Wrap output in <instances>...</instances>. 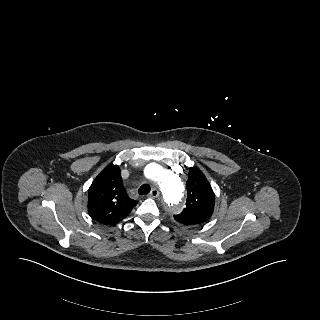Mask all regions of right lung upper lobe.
Instances as JSON below:
<instances>
[{"label":"right lung upper lobe","instance_id":"right-lung-upper-lobe-1","mask_svg":"<svg viewBox=\"0 0 320 320\" xmlns=\"http://www.w3.org/2000/svg\"><path fill=\"white\" fill-rule=\"evenodd\" d=\"M137 203L126 194L117 165L107 166L88 191V212L95 221L105 225L114 226L123 220Z\"/></svg>","mask_w":320,"mask_h":320}]
</instances>
